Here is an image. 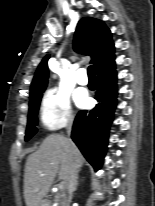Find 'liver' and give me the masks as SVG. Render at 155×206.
Segmentation results:
<instances>
[{"instance_id":"6515ba94","label":"liver","mask_w":155,"mask_h":206,"mask_svg":"<svg viewBox=\"0 0 155 206\" xmlns=\"http://www.w3.org/2000/svg\"><path fill=\"white\" fill-rule=\"evenodd\" d=\"M76 170L84 163L79 149L63 135L53 134L44 139L39 149L26 162L24 197L27 206H38L48 194L58 173L67 188L71 164Z\"/></svg>"}]
</instances>
